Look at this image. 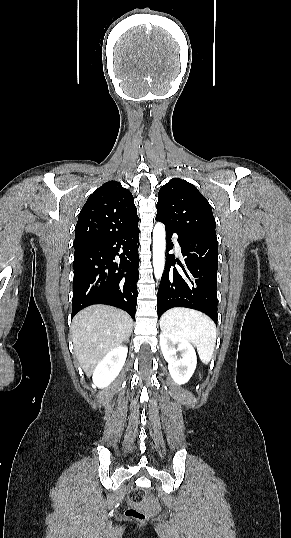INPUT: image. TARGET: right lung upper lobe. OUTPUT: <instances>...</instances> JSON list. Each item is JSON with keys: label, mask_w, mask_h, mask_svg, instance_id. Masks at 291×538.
Instances as JSON below:
<instances>
[{"label": "right lung upper lobe", "mask_w": 291, "mask_h": 538, "mask_svg": "<svg viewBox=\"0 0 291 538\" xmlns=\"http://www.w3.org/2000/svg\"><path fill=\"white\" fill-rule=\"evenodd\" d=\"M131 192L116 181L104 183L89 196L75 227V249L109 240L138 226Z\"/></svg>", "instance_id": "obj_1"}]
</instances>
